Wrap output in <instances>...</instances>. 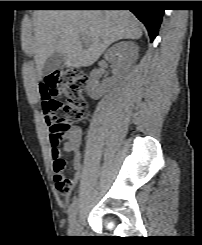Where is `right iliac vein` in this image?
<instances>
[{"mask_svg": "<svg viewBox=\"0 0 202 245\" xmlns=\"http://www.w3.org/2000/svg\"><path fill=\"white\" fill-rule=\"evenodd\" d=\"M69 232H70V234H71L72 236H81V232H80V229H79V222H78L77 219H74V220L71 222Z\"/></svg>", "mask_w": 202, "mask_h": 245, "instance_id": "right-iliac-vein-1", "label": "right iliac vein"}]
</instances>
